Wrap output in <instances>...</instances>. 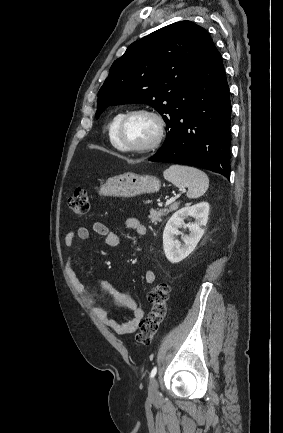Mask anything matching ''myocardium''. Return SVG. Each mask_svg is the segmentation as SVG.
Returning <instances> with one entry per match:
<instances>
[{
  "label": "myocardium",
  "mask_w": 283,
  "mask_h": 433,
  "mask_svg": "<svg viewBox=\"0 0 283 433\" xmlns=\"http://www.w3.org/2000/svg\"><path fill=\"white\" fill-rule=\"evenodd\" d=\"M137 114L149 115L152 118H154L158 124V133L156 138L150 144L141 147L129 146L124 142L122 138V132L125 124L132 116ZM166 133H167V121L159 111L149 107H138V108L128 110L123 114V116L121 117V119L119 120L116 126L115 139L119 149L124 152L148 155V154L155 153L156 151L159 150V148L161 147L162 143L165 140Z\"/></svg>",
  "instance_id": "1"
}]
</instances>
